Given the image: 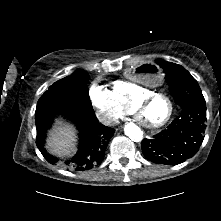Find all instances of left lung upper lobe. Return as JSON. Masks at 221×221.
Returning <instances> with one entry per match:
<instances>
[{"instance_id":"obj_1","label":"left lung upper lobe","mask_w":221,"mask_h":221,"mask_svg":"<svg viewBox=\"0 0 221 221\" xmlns=\"http://www.w3.org/2000/svg\"><path fill=\"white\" fill-rule=\"evenodd\" d=\"M157 63L163 68L170 92L181 108L205 101L197 81L181 65L161 59H158Z\"/></svg>"}]
</instances>
